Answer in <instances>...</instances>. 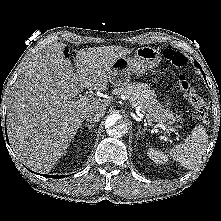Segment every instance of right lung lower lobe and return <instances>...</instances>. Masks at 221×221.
Masks as SVG:
<instances>
[{
    "label": "right lung lower lobe",
    "mask_w": 221,
    "mask_h": 221,
    "mask_svg": "<svg viewBox=\"0 0 221 221\" xmlns=\"http://www.w3.org/2000/svg\"><path fill=\"white\" fill-rule=\"evenodd\" d=\"M0 127H1V124H0ZM43 176L49 177V178H63V177H65V176H54V175H43Z\"/></svg>",
    "instance_id": "98d812e1"
}]
</instances>
